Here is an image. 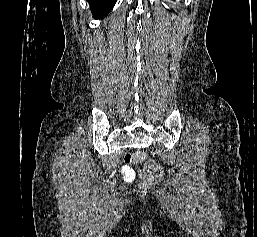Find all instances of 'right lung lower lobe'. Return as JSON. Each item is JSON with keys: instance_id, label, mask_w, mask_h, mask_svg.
<instances>
[{"instance_id": "98d812e1", "label": "right lung lower lobe", "mask_w": 257, "mask_h": 237, "mask_svg": "<svg viewBox=\"0 0 257 237\" xmlns=\"http://www.w3.org/2000/svg\"><path fill=\"white\" fill-rule=\"evenodd\" d=\"M117 0H87L96 19L106 15L115 5Z\"/></svg>"}]
</instances>
